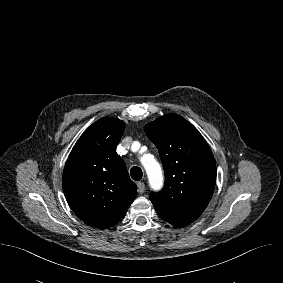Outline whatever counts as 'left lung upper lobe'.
Instances as JSON below:
<instances>
[{
  "label": "left lung upper lobe",
  "instance_id": "1",
  "mask_svg": "<svg viewBox=\"0 0 283 283\" xmlns=\"http://www.w3.org/2000/svg\"><path fill=\"white\" fill-rule=\"evenodd\" d=\"M164 167L163 189L151 192L157 214L181 227L196 220L207 207L215 187L216 164L202 135L183 117L167 114L145 126Z\"/></svg>",
  "mask_w": 283,
  "mask_h": 283
}]
</instances>
